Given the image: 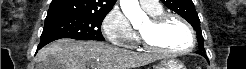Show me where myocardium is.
Here are the masks:
<instances>
[{"instance_id":"myocardium-1","label":"myocardium","mask_w":246,"mask_h":69,"mask_svg":"<svg viewBox=\"0 0 246 69\" xmlns=\"http://www.w3.org/2000/svg\"><path fill=\"white\" fill-rule=\"evenodd\" d=\"M170 19H176L180 21L182 25L186 28L190 37V42H191L190 45L184 49H170V48L160 47L152 44L144 35H142L139 32V36L144 47L156 53H161L165 55H177V54L187 53L191 51L195 47V34L191 25L183 17L175 13H162L160 15L151 16L149 22L152 28L157 29Z\"/></svg>"}]
</instances>
